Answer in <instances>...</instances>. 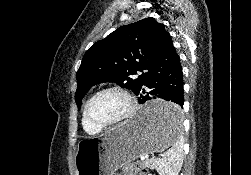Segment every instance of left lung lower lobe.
<instances>
[{
  "label": "left lung lower lobe",
  "instance_id": "obj_1",
  "mask_svg": "<svg viewBox=\"0 0 251 175\" xmlns=\"http://www.w3.org/2000/svg\"><path fill=\"white\" fill-rule=\"evenodd\" d=\"M143 85L148 89L142 88ZM183 93V72L180 57L170 36L162 51L148 69L135 94L139 95V103L161 98L176 105L165 104L145 109L140 114L141 121L160 124L178 122L182 117Z\"/></svg>",
  "mask_w": 251,
  "mask_h": 175
}]
</instances>
